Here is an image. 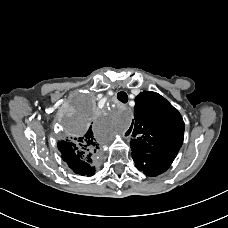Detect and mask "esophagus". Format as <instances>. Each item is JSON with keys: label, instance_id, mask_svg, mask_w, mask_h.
<instances>
[{"label": "esophagus", "instance_id": "esophagus-1", "mask_svg": "<svg viewBox=\"0 0 228 228\" xmlns=\"http://www.w3.org/2000/svg\"><path fill=\"white\" fill-rule=\"evenodd\" d=\"M122 136H123V137H128V133H127V132H123V133H122Z\"/></svg>", "mask_w": 228, "mask_h": 228}]
</instances>
